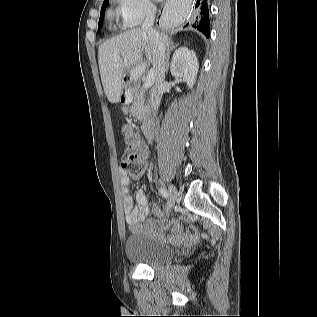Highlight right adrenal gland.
Segmentation results:
<instances>
[{
	"label": "right adrenal gland",
	"mask_w": 317,
	"mask_h": 317,
	"mask_svg": "<svg viewBox=\"0 0 317 317\" xmlns=\"http://www.w3.org/2000/svg\"><path fill=\"white\" fill-rule=\"evenodd\" d=\"M178 46V44H173L171 43L170 45H168L167 47V54H166V63H167V68H166V72H168L169 69V59H170V53L173 49H175Z\"/></svg>",
	"instance_id": "1"
}]
</instances>
